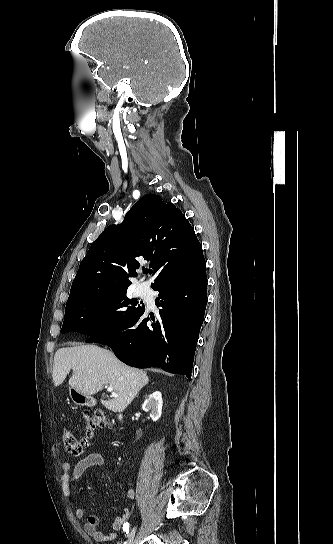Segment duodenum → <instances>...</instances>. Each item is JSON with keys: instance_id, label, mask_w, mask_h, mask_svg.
Listing matches in <instances>:
<instances>
[{"instance_id": "duodenum-1", "label": "duodenum", "mask_w": 333, "mask_h": 544, "mask_svg": "<svg viewBox=\"0 0 333 544\" xmlns=\"http://www.w3.org/2000/svg\"><path fill=\"white\" fill-rule=\"evenodd\" d=\"M79 402L83 403V404H87V405H93L94 404V400L92 398L86 397V396H80ZM118 419L120 421H122V416L118 415Z\"/></svg>"}]
</instances>
